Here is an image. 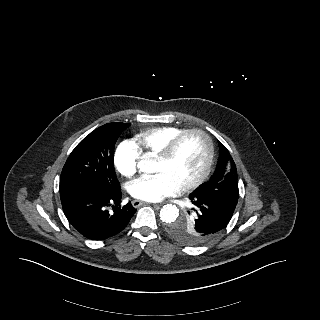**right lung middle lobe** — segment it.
Masks as SVG:
<instances>
[{
    "instance_id": "right-lung-middle-lobe-1",
    "label": "right lung middle lobe",
    "mask_w": 320,
    "mask_h": 320,
    "mask_svg": "<svg viewBox=\"0 0 320 320\" xmlns=\"http://www.w3.org/2000/svg\"><path fill=\"white\" fill-rule=\"evenodd\" d=\"M129 123L105 124L87 135L72 151L60 176V193L108 192L120 186L114 170L115 143Z\"/></svg>"
}]
</instances>
